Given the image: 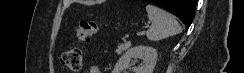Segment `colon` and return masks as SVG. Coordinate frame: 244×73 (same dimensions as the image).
<instances>
[{"instance_id":"colon-1","label":"colon","mask_w":244,"mask_h":73,"mask_svg":"<svg viewBox=\"0 0 244 73\" xmlns=\"http://www.w3.org/2000/svg\"><path fill=\"white\" fill-rule=\"evenodd\" d=\"M98 32V24L92 20H82L76 28V37L79 45L67 48L62 56L61 63L72 73H79L83 66L84 49L82 44L88 42Z\"/></svg>"}]
</instances>
